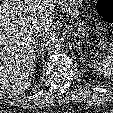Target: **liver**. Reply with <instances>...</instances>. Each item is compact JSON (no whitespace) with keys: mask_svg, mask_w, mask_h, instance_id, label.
<instances>
[{"mask_svg":"<svg viewBox=\"0 0 113 113\" xmlns=\"http://www.w3.org/2000/svg\"><path fill=\"white\" fill-rule=\"evenodd\" d=\"M55 1L0 0V88L8 95H20L30 87L37 32L51 26Z\"/></svg>","mask_w":113,"mask_h":113,"instance_id":"obj_1","label":"liver"}]
</instances>
